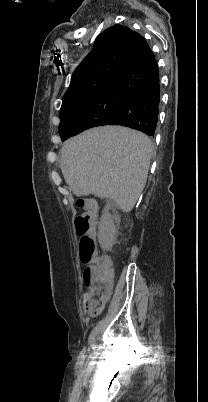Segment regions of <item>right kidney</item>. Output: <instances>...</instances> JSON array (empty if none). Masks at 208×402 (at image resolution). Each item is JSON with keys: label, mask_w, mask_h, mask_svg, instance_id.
I'll return each mask as SVG.
<instances>
[{"label": "right kidney", "mask_w": 208, "mask_h": 402, "mask_svg": "<svg viewBox=\"0 0 208 402\" xmlns=\"http://www.w3.org/2000/svg\"><path fill=\"white\" fill-rule=\"evenodd\" d=\"M120 224V218L118 216H110L107 210H103V214L99 222L98 240L101 248L106 250L110 244H113L116 240V234L118 226Z\"/></svg>", "instance_id": "1"}]
</instances>
